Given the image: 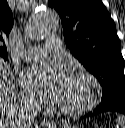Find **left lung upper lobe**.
<instances>
[{
  "instance_id": "left-lung-upper-lobe-1",
  "label": "left lung upper lobe",
  "mask_w": 125,
  "mask_h": 128,
  "mask_svg": "<svg viewBox=\"0 0 125 128\" xmlns=\"http://www.w3.org/2000/svg\"><path fill=\"white\" fill-rule=\"evenodd\" d=\"M71 53L102 86L101 104L125 94L124 59L116 26L99 0H49Z\"/></svg>"
}]
</instances>
